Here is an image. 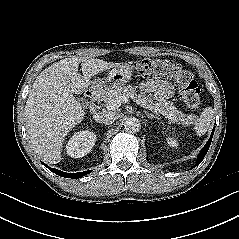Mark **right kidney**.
Here are the masks:
<instances>
[{"label": "right kidney", "mask_w": 239, "mask_h": 239, "mask_svg": "<svg viewBox=\"0 0 239 239\" xmlns=\"http://www.w3.org/2000/svg\"><path fill=\"white\" fill-rule=\"evenodd\" d=\"M96 135L88 130L76 132L66 145V152L72 158L87 155L95 145Z\"/></svg>", "instance_id": "1"}]
</instances>
